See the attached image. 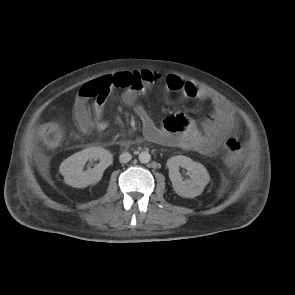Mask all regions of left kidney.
I'll list each match as a JSON object with an SVG mask.
<instances>
[{"mask_svg": "<svg viewBox=\"0 0 295 295\" xmlns=\"http://www.w3.org/2000/svg\"><path fill=\"white\" fill-rule=\"evenodd\" d=\"M167 167L173 189L181 197L193 198L200 195L210 181V176L206 168L201 163L194 162L186 156L179 155L171 157L167 161ZM179 167L190 171V180L182 179Z\"/></svg>", "mask_w": 295, "mask_h": 295, "instance_id": "left-kidney-1", "label": "left kidney"}]
</instances>
